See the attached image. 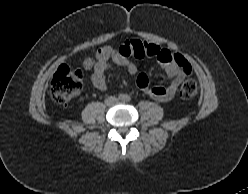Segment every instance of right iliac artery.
<instances>
[{
    "label": "right iliac artery",
    "instance_id": "82829eb1",
    "mask_svg": "<svg viewBox=\"0 0 248 194\" xmlns=\"http://www.w3.org/2000/svg\"><path fill=\"white\" fill-rule=\"evenodd\" d=\"M118 99H119V100H124V99H125V95L119 94Z\"/></svg>",
    "mask_w": 248,
    "mask_h": 194
}]
</instances>
